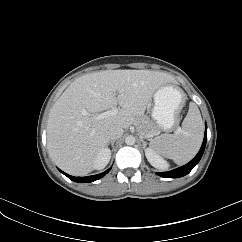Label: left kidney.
<instances>
[{
    "instance_id": "1",
    "label": "left kidney",
    "mask_w": 242,
    "mask_h": 242,
    "mask_svg": "<svg viewBox=\"0 0 242 242\" xmlns=\"http://www.w3.org/2000/svg\"><path fill=\"white\" fill-rule=\"evenodd\" d=\"M145 155L148 162L155 168L159 170H165L168 168V163L160 157L156 151L152 148L145 149Z\"/></svg>"
}]
</instances>
